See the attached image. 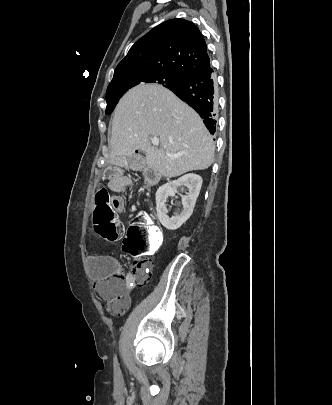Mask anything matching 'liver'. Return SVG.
I'll return each mask as SVG.
<instances>
[{"instance_id": "6515ba94", "label": "liver", "mask_w": 332, "mask_h": 405, "mask_svg": "<svg viewBox=\"0 0 332 405\" xmlns=\"http://www.w3.org/2000/svg\"><path fill=\"white\" fill-rule=\"evenodd\" d=\"M153 137L159 139V147L151 144ZM109 146L112 164L127 165L141 149L145 164L168 178L207 169L214 161L215 145L203 120L160 85H140L121 98Z\"/></svg>"}]
</instances>
